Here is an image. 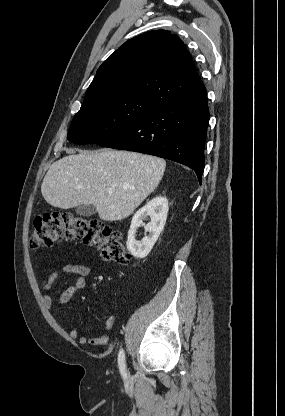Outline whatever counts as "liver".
Here are the masks:
<instances>
[{
    "label": "liver",
    "instance_id": "obj_1",
    "mask_svg": "<svg viewBox=\"0 0 285 416\" xmlns=\"http://www.w3.org/2000/svg\"><path fill=\"white\" fill-rule=\"evenodd\" d=\"M50 166L41 184V194L54 208L69 210L92 204L100 220H124L156 190L166 162L136 152L68 150ZM79 152V154H76ZM108 190H114L109 196Z\"/></svg>",
    "mask_w": 285,
    "mask_h": 416
}]
</instances>
